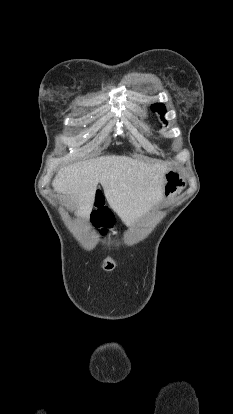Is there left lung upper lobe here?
Masks as SVG:
<instances>
[{
	"label": "left lung upper lobe",
	"instance_id": "obj_1",
	"mask_svg": "<svg viewBox=\"0 0 233 414\" xmlns=\"http://www.w3.org/2000/svg\"><path fill=\"white\" fill-rule=\"evenodd\" d=\"M152 111L158 112L161 115V118L165 124H167L166 120L163 118L164 114L166 113V108L163 104H153L151 106Z\"/></svg>",
	"mask_w": 233,
	"mask_h": 414
}]
</instances>
